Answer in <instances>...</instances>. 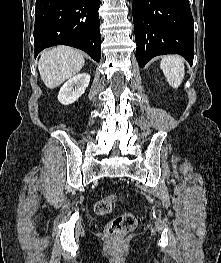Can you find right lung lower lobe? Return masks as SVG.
Listing matches in <instances>:
<instances>
[{
  "mask_svg": "<svg viewBox=\"0 0 221 263\" xmlns=\"http://www.w3.org/2000/svg\"><path fill=\"white\" fill-rule=\"evenodd\" d=\"M99 7L100 0H36L35 56L47 47L68 45L99 62Z\"/></svg>",
  "mask_w": 221,
  "mask_h": 263,
  "instance_id": "1",
  "label": "right lung lower lobe"
}]
</instances>
